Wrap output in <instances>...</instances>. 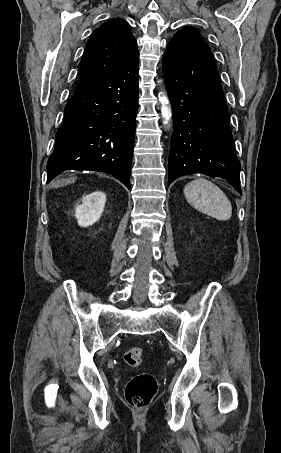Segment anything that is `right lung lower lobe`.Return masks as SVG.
Listing matches in <instances>:
<instances>
[{
  "label": "right lung lower lobe",
  "instance_id": "98d812e1",
  "mask_svg": "<svg viewBox=\"0 0 281 453\" xmlns=\"http://www.w3.org/2000/svg\"><path fill=\"white\" fill-rule=\"evenodd\" d=\"M138 54L113 74L81 82L47 163V183L65 170L106 172L130 189L138 109Z\"/></svg>",
  "mask_w": 281,
  "mask_h": 453
}]
</instances>
